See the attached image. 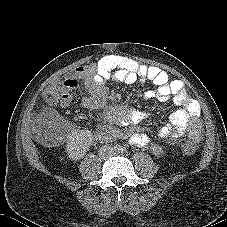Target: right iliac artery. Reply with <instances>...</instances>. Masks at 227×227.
I'll list each match as a JSON object with an SVG mask.
<instances>
[{
	"label": "right iliac artery",
	"mask_w": 227,
	"mask_h": 227,
	"mask_svg": "<svg viewBox=\"0 0 227 227\" xmlns=\"http://www.w3.org/2000/svg\"><path fill=\"white\" fill-rule=\"evenodd\" d=\"M119 148H120L119 145H115L112 150L119 151Z\"/></svg>",
	"instance_id": "82829eb1"
}]
</instances>
